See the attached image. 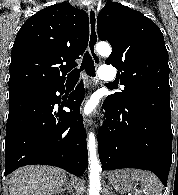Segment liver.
I'll list each match as a JSON object with an SVG mask.
<instances>
[{
  "mask_svg": "<svg viewBox=\"0 0 178 195\" xmlns=\"http://www.w3.org/2000/svg\"><path fill=\"white\" fill-rule=\"evenodd\" d=\"M66 172L51 166H26L12 173L10 195H52L66 183Z\"/></svg>",
  "mask_w": 178,
  "mask_h": 195,
  "instance_id": "1",
  "label": "liver"
}]
</instances>
